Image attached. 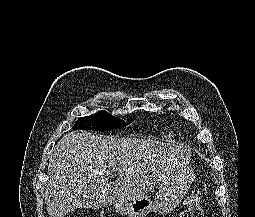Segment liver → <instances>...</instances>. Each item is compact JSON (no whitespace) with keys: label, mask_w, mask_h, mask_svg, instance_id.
<instances>
[{"label":"liver","mask_w":255,"mask_h":217,"mask_svg":"<svg viewBox=\"0 0 255 217\" xmlns=\"http://www.w3.org/2000/svg\"><path fill=\"white\" fill-rule=\"evenodd\" d=\"M190 158L191 149L185 145L70 132L56 144L49 160L45 192L49 217L143 197L188 165ZM113 172L118 178L109 182Z\"/></svg>","instance_id":"liver-1"}]
</instances>
